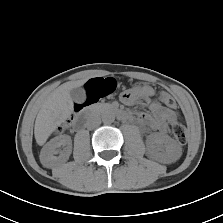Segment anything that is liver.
Segmentation results:
<instances>
[{
	"label": "liver",
	"instance_id": "obj_1",
	"mask_svg": "<svg viewBox=\"0 0 223 223\" xmlns=\"http://www.w3.org/2000/svg\"><path fill=\"white\" fill-rule=\"evenodd\" d=\"M85 81L66 82L52 92L43 102L34 127V135L38 145H44L58 126L71 116L73 100L70 91L83 85Z\"/></svg>",
	"mask_w": 223,
	"mask_h": 223
}]
</instances>
